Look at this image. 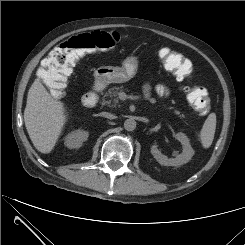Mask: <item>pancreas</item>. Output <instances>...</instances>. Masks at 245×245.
Wrapping results in <instances>:
<instances>
[{
	"label": "pancreas",
	"mask_w": 245,
	"mask_h": 245,
	"mask_svg": "<svg viewBox=\"0 0 245 245\" xmlns=\"http://www.w3.org/2000/svg\"><path fill=\"white\" fill-rule=\"evenodd\" d=\"M123 90V87H112L109 88L108 91L105 93L102 99V105H108V106H116L118 104V95ZM175 113L177 115H180L183 117L184 115L180 114L179 111L175 110Z\"/></svg>",
	"instance_id": "1"
}]
</instances>
